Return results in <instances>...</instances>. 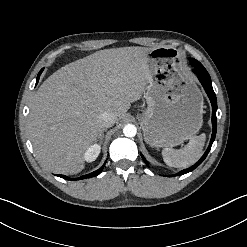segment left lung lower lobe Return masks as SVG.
Listing matches in <instances>:
<instances>
[{
    "instance_id": "left-lung-lower-lobe-1",
    "label": "left lung lower lobe",
    "mask_w": 247,
    "mask_h": 247,
    "mask_svg": "<svg viewBox=\"0 0 247 247\" xmlns=\"http://www.w3.org/2000/svg\"><path fill=\"white\" fill-rule=\"evenodd\" d=\"M191 65L194 67V73L197 74V77H198L199 81L201 82L203 88L205 89V92L207 93V95L211 101V104H212L213 132H212L210 144H209L206 152L204 153V155L201 157V159L197 163H195L193 166H191L187 169H184L173 176L184 175L188 172H191L204 161V159L207 157V155L211 149V146L215 140L216 130H217V118H216L217 101H216V95H215L213 87H212L211 78H210L209 74L207 73L206 69L202 66V64L199 65V64L191 63ZM141 156H142L144 162L148 165V162L146 161L144 156L143 155H141Z\"/></svg>"
}]
</instances>
